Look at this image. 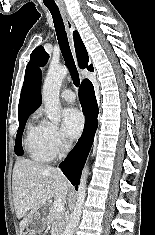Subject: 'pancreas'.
I'll list each match as a JSON object with an SVG mask.
<instances>
[{
	"instance_id": "cf45deb5",
	"label": "pancreas",
	"mask_w": 155,
	"mask_h": 235,
	"mask_svg": "<svg viewBox=\"0 0 155 235\" xmlns=\"http://www.w3.org/2000/svg\"><path fill=\"white\" fill-rule=\"evenodd\" d=\"M46 222L49 226H52L54 228L57 235H61V231L64 227L63 213H57L52 206L50 208Z\"/></svg>"
}]
</instances>
